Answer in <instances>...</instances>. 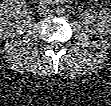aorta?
<instances>
[{
    "mask_svg": "<svg viewBox=\"0 0 111 106\" xmlns=\"http://www.w3.org/2000/svg\"><path fill=\"white\" fill-rule=\"evenodd\" d=\"M56 13L57 14H63L64 13V8L63 7H57L56 8Z\"/></svg>",
    "mask_w": 111,
    "mask_h": 106,
    "instance_id": "762f6f07",
    "label": "aorta"
}]
</instances>
